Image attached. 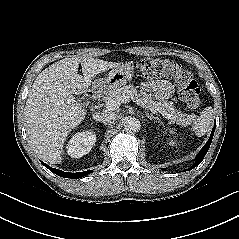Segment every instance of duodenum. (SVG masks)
I'll list each match as a JSON object with an SVG mask.
<instances>
[{"mask_svg":"<svg viewBox=\"0 0 239 239\" xmlns=\"http://www.w3.org/2000/svg\"><path fill=\"white\" fill-rule=\"evenodd\" d=\"M87 96L90 98V99H94L95 98V93L93 91H88L87 92Z\"/></svg>","mask_w":239,"mask_h":239,"instance_id":"1","label":"duodenum"}]
</instances>
